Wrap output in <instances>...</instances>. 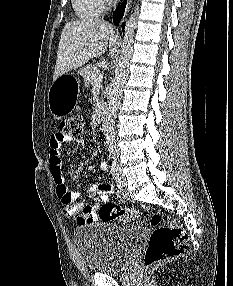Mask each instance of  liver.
Here are the masks:
<instances>
[{
    "mask_svg": "<svg viewBox=\"0 0 233 286\" xmlns=\"http://www.w3.org/2000/svg\"><path fill=\"white\" fill-rule=\"evenodd\" d=\"M117 36L111 24L100 19H82L66 23L59 41L53 80L102 55L108 45L109 56L116 51Z\"/></svg>",
    "mask_w": 233,
    "mask_h": 286,
    "instance_id": "1",
    "label": "liver"
}]
</instances>
